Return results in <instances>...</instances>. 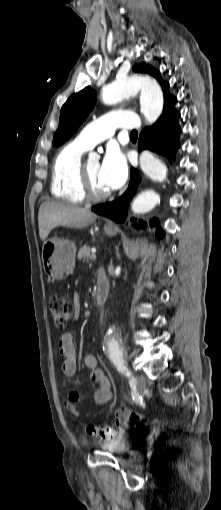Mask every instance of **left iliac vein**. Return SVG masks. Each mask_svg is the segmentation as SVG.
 Masks as SVG:
<instances>
[{
    "mask_svg": "<svg viewBox=\"0 0 221 510\" xmlns=\"http://www.w3.org/2000/svg\"><path fill=\"white\" fill-rule=\"evenodd\" d=\"M135 379L138 391L142 393L146 387V378L144 377V375H136Z\"/></svg>",
    "mask_w": 221,
    "mask_h": 510,
    "instance_id": "1",
    "label": "left iliac vein"
}]
</instances>
